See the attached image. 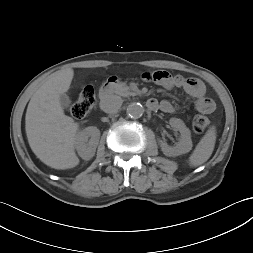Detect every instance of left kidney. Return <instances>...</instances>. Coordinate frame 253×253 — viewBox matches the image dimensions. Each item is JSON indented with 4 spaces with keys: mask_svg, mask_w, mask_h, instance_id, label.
<instances>
[{
    "mask_svg": "<svg viewBox=\"0 0 253 253\" xmlns=\"http://www.w3.org/2000/svg\"><path fill=\"white\" fill-rule=\"evenodd\" d=\"M169 124L180 132L181 138L173 147L168 146L165 142H160V147L164 155L174 157L189 152L192 149L190 130L185 126L183 121L178 118H171Z\"/></svg>",
    "mask_w": 253,
    "mask_h": 253,
    "instance_id": "left-kidney-1",
    "label": "left kidney"
}]
</instances>
